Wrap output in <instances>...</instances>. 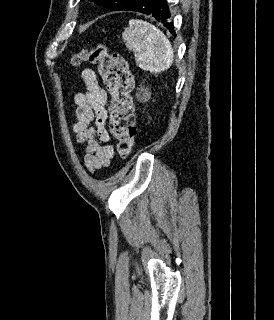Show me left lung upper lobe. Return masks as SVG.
Segmentation results:
<instances>
[{
  "mask_svg": "<svg viewBox=\"0 0 274 320\" xmlns=\"http://www.w3.org/2000/svg\"><path fill=\"white\" fill-rule=\"evenodd\" d=\"M96 2L98 5H102L112 11L123 10L129 6L134 0H91Z\"/></svg>",
  "mask_w": 274,
  "mask_h": 320,
  "instance_id": "obj_1",
  "label": "left lung upper lobe"
}]
</instances>
